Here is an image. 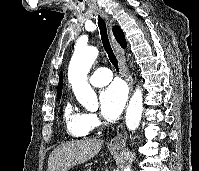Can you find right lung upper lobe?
Listing matches in <instances>:
<instances>
[{
  "instance_id": "right-lung-upper-lobe-1",
  "label": "right lung upper lobe",
  "mask_w": 199,
  "mask_h": 171,
  "mask_svg": "<svg viewBox=\"0 0 199 171\" xmlns=\"http://www.w3.org/2000/svg\"><path fill=\"white\" fill-rule=\"evenodd\" d=\"M113 32L115 35L116 40L120 43V45L125 48L126 47V40L123 31L119 26L113 27ZM62 87H63V73L60 72L59 76V84L57 89V98H60V95L62 94Z\"/></svg>"
}]
</instances>
